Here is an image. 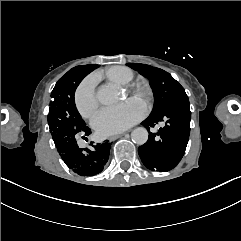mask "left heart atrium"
<instances>
[{
  "label": "left heart atrium",
  "mask_w": 241,
  "mask_h": 241,
  "mask_svg": "<svg viewBox=\"0 0 241 241\" xmlns=\"http://www.w3.org/2000/svg\"><path fill=\"white\" fill-rule=\"evenodd\" d=\"M144 114V109L131 112L123 108H103L92 117L91 124L100 134L109 136L127 131Z\"/></svg>",
  "instance_id": "left-heart-atrium-1"
}]
</instances>
